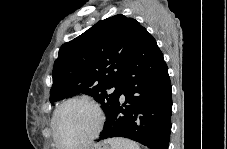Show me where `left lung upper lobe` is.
Listing matches in <instances>:
<instances>
[{"mask_svg": "<svg viewBox=\"0 0 227 149\" xmlns=\"http://www.w3.org/2000/svg\"><path fill=\"white\" fill-rule=\"evenodd\" d=\"M142 28L135 19L118 14L63 44L52 71L50 102L85 93L93 96L107 115L119 97Z\"/></svg>", "mask_w": 227, "mask_h": 149, "instance_id": "5c2ea615", "label": "left lung upper lobe"}]
</instances>
